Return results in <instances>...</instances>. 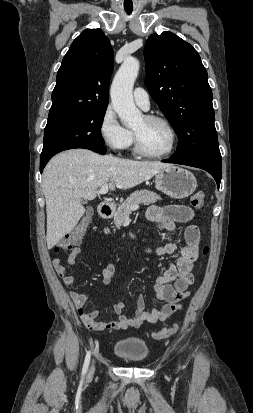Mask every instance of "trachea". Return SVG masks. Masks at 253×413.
Listing matches in <instances>:
<instances>
[{"label":"trachea","mask_w":253,"mask_h":413,"mask_svg":"<svg viewBox=\"0 0 253 413\" xmlns=\"http://www.w3.org/2000/svg\"><path fill=\"white\" fill-rule=\"evenodd\" d=\"M126 11V13L129 15V14H131L132 13V10H125Z\"/></svg>","instance_id":"1"}]
</instances>
